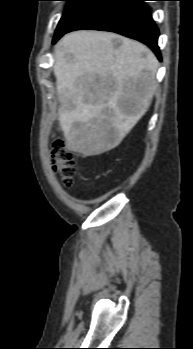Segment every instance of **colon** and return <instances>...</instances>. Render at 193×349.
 <instances>
[{"label":"colon","instance_id":"5ec220e1","mask_svg":"<svg viewBox=\"0 0 193 349\" xmlns=\"http://www.w3.org/2000/svg\"><path fill=\"white\" fill-rule=\"evenodd\" d=\"M51 161L55 171L61 177L62 183L70 187L76 173L74 154L67 148L63 139L56 138L51 145Z\"/></svg>","mask_w":193,"mask_h":349}]
</instances>
